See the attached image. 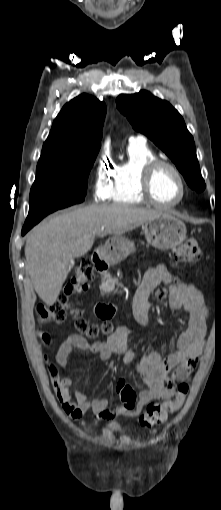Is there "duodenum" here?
Listing matches in <instances>:
<instances>
[{"label":"duodenum","mask_w":221,"mask_h":510,"mask_svg":"<svg viewBox=\"0 0 221 510\" xmlns=\"http://www.w3.org/2000/svg\"><path fill=\"white\" fill-rule=\"evenodd\" d=\"M93 264L97 272H105L108 267V262L101 250H98L93 255ZM112 309L110 305L98 304L95 307V312L99 316H106Z\"/></svg>","instance_id":"410a0bca"}]
</instances>
